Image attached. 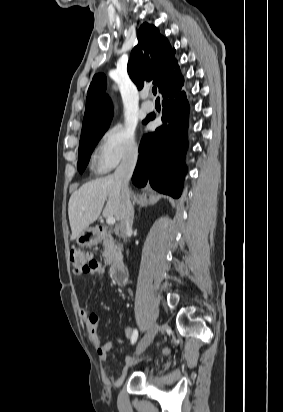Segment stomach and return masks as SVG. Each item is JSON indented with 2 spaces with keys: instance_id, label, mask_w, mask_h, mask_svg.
<instances>
[{
  "instance_id": "stomach-1",
  "label": "stomach",
  "mask_w": 283,
  "mask_h": 412,
  "mask_svg": "<svg viewBox=\"0 0 283 412\" xmlns=\"http://www.w3.org/2000/svg\"><path fill=\"white\" fill-rule=\"evenodd\" d=\"M98 236L92 228L85 229L77 238L76 243L81 247H89L97 244Z\"/></svg>"
}]
</instances>
